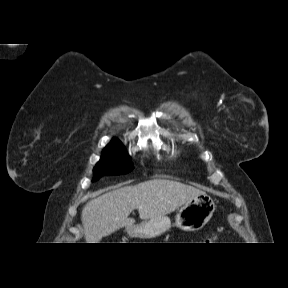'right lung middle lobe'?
Returning a JSON list of instances; mask_svg holds the SVG:
<instances>
[{
	"label": "right lung middle lobe",
	"instance_id": "dd1d6c3e",
	"mask_svg": "<svg viewBox=\"0 0 288 288\" xmlns=\"http://www.w3.org/2000/svg\"><path fill=\"white\" fill-rule=\"evenodd\" d=\"M130 157L120 141H111L102 152L100 161L93 169V181L103 175L126 174L133 170Z\"/></svg>",
	"mask_w": 288,
	"mask_h": 288
}]
</instances>
